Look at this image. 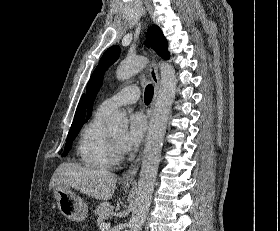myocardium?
I'll list each match as a JSON object with an SVG mask.
<instances>
[{
	"mask_svg": "<svg viewBox=\"0 0 280 231\" xmlns=\"http://www.w3.org/2000/svg\"><path fill=\"white\" fill-rule=\"evenodd\" d=\"M108 145H109V156L111 161H118L122 158V155L117 147V144L112 139L110 134L108 135Z\"/></svg>",
	"mask_w": 280,
	"mask_h": 231,
	"instance_id": "f54148a6",
	"label": "myocardium"
}]
</instances>
